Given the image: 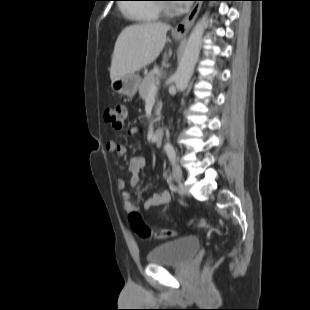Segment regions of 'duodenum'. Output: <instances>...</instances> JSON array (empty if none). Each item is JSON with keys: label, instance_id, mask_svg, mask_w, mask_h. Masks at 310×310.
Here are the masks:
<instances>
[{"label": "duodenum", "instance_id": "obj_1", "mask_svg": "<svg viewBox=\"0 0 310 310\" xmlns=\"http://www.w3.org/2000/svg\"><path fill=\"white\" fill-rule=\"evenodd\" d=\"M163 138H164V130L162 129L156 130L152 135L153 143L155 146H161Z\"/></svg>", "mask_w": 310, "mask_h": 310}]
</instances>
